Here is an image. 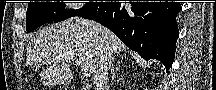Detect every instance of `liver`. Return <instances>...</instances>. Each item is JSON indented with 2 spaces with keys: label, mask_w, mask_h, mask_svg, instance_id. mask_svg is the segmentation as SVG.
Returning a JSON list of instances; mask_svg holds the SVG:
<instances>
[{
  "label": "liver",
  "mask_w": 216,
  "mask_h": 90,
  "mask_svg": "<svg viewBox=\"0 0 216 90\" xmlns=\"http://www.w3.org/2000/svg\"><path fill=\"white\" fill-rule=\"evenodd\" d=\"M123 42L93 20L70 18L46 30L35 32L27 46V60L31 66L47 68L39 76L43 86L70 84L75 62H82L81 72L89 74L94 84V74L103 56L115 58L125 50Z\"/></svg>",
  "instance_id": "obj_1"
}]
</instances>
